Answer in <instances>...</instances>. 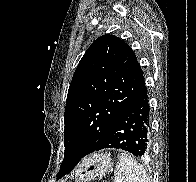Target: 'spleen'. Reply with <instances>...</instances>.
I'll return each mask as SVG.
<instances>
[{
  "label": "spleen",
  "mask_w": 196,
  "mask_h": 182,
  "mask_svg": "<svg viewBox=\"0 0 196 182\" xmlns=\"http://www.w3.org/2000/svg\"><path fill=\"white\" fill-rule=\"evenodd\" d=\"M114 174L115 182H150L144 168L127 153L118 155Z\"/></svg>",
  "instance_id": "obj_1"
}]
</instances>
